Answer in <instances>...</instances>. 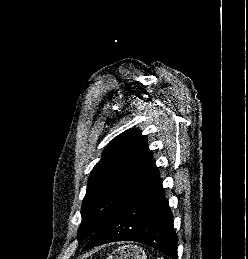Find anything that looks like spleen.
I'll return each instance as SVG.
<instances>
[{
    "label": "spleen",
    "instance_id": "3e777b00",
    "mask_svg": "<svg viewBox=\"0 0 248 259\" xmlns=\"http://www.w3.org/2000/svg\"><path fill=\"white\" fill-rule=\"evenodd\" d=\"M157 259H164L163 257H161V258H157Z\"/></svg>",
    "mask_w": 248,
    "mask_h": 259
}]
</instances>
